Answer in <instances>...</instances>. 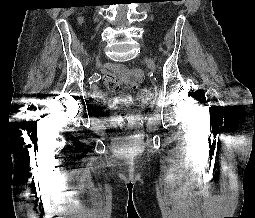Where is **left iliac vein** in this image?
<instances>
[{"label":"left iliac vein","instance_id":"1","mask_svg":"<svg viewBox=\"0 0 255 218\" xmlns=\"http://www.w3.org/2000/svg\"><path fill=\"white\" fill-rule=\"evenodd\" d=\"M145 61H146V63H147V65H148V67L153 71V72H155L156 71V66H155V64H154V62L150 59V58H145Z\"/></svg>","mask_w":255,"mask_h":218}]
</instances>
